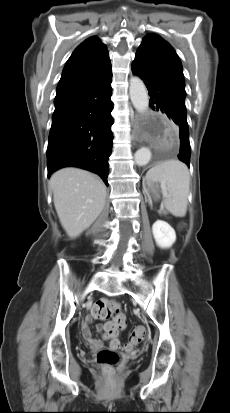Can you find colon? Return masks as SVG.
Returning a JSON list of instances; mask_svg holds the SVG:
<instances>
[{
    "label": "colon",
    "mask_w": 230,
    "mask_h": 413,
    "mask_svg": "<svg viewBox=\"0 0 230 413\" xmlns=\"http://www.w3.org/2000/svg\"><path fill=\"white\" fill-rule=\"evenodd\" d=\"M120 303L116 300H99L93 306V315L100 320H115L121 313ZM109 336L111 339V348L103 349L98 352L96 361L102 366L108 373L112 371L114 366L119 361V355L115 351V348L119 346V342L116 339V333L113 328L109 330ZM146 336V330L144 327H136L129 339L126 346L128 351H132L137 345H139Z\"/></svg>",
    "instance_id": "5ec220e1"
}]
</instances>
